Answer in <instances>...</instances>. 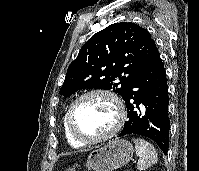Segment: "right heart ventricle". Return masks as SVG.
Here are the masks:
<instances>
[{"label":"right heart ventricle","mask_w":199,"mask_h":171,"mask_svg":"<svg viewBox=\"0 0 199 171\" xmlns=\"http://www.w3.org/2000/svg\"><path fill=\"white\" fill-rule=\"evenodd\" d=\"M67 114V113H66ZM66 114L64 116V119H63V131H64V136L68 142L69 145H71L72 147H81L83 146L84 144L77 141L76 139H74L72 137V135L70 134L69 130H68V126H67V120H66Z\"/></svg>","instance_id":"e07e8e85"}]
</instances>
